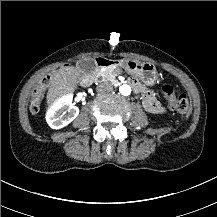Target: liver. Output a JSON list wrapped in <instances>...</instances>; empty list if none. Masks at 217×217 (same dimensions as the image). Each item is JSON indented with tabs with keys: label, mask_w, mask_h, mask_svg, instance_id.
<instances>
[{
	"label": "liver",
	"mask_w": 217,
	"mask_h": 217,
	"mask_svg": "<svg viewBox=\"0 0 217 217\" xmlns=\"http://www.w3.org/2000/svg\"><path fill=\"white\" fill-rule=\"evenodd\" d=\"M82 70L78 66H65L62 67L58 74L51 80V86L47 93V103L49 106L62 94L74 90L78 84V77Z\"/></svg>",
	"instance_id": "1"
}]
</instances>
